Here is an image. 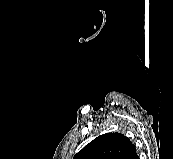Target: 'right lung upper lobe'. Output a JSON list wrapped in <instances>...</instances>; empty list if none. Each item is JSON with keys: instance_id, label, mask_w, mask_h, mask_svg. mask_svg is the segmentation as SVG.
Returning <instances> with one entry per match:
<instances>
[{"instance_id": "1", "label": "right lung upper lobe", "mask_w": 173, "mask_h": 159, "mask_svg": "<svg viewBox=\"0 0 173 159\" xmlns=\"http://www.w3.org/2000/svg\"><path fill=\"white\" fill-rule=\"evenodd\" d=\"M73 159H139L135 146L120 133H106L87 144Z\"/></svg>"}]
</instances>
